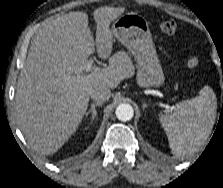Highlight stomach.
<instances>
[{
  "mask_svg": "<svg viewBox=\"0 0 223 188\" xmlns=\"http://www.w3.org/2000/svg\"><path fill=\"white\" fill-rule=\"evenodd\" d=\"M111 32L135 56L138 85L161 86L164 74L156 56L147 21L136 13H126L113 22Z\"/></svg>",
  "mask_w": 223,
  "mask_h": 188,
  "instance_id": "stomach-1",
  "label": "stomach"
}]
</instances>
